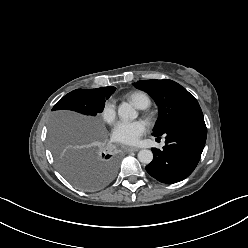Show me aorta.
I'll use <instances>...</instances> for the list:
<instances>
[{"label":"aorta","instance_id":"1","mask_svg":"<svg viewBox=\"0 0 248 248\" xmlns=\"http://www.w3.org/2000/svg\"><path fill=\"white\" fill-rule=\"evenodd\" d=\"M118 115L123 120H134L138 116V112L128 103H122L118 107ZM138 159L143 164H149L153 159L151 150L142 149L138 153Z\"/></svg>","mask_w":248,"mask_h":248}]
</instances>
